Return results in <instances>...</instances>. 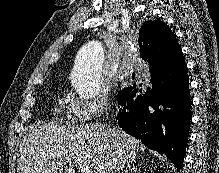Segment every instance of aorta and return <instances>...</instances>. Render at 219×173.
Segmentation results:
<instances>
[{
  "label": "aorta",
  "instance_id": "obj_1",
  "mask_svg": "<svg viewBox=\"0 0 219 173\" xmlns=\"http://www.w3.org/2000/svg\"><path fill=\"white\" fill-rule=\"evenodd\" d=\"M103 61L104 49L99 41H90L80 49L73 81L80 97L93 98L99 94Z\"/></svg>",
  "mask_w": 219,
  "mask_h": 173
}]
</instances>
